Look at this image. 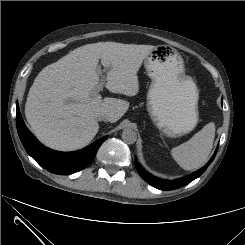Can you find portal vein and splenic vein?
Masks as SVG:
<instances>
[{
  "label": "portal vein and splenic vein",
  "instance_id": "1",
  "mask_svg": "<svg viewBox=\"0 0 245 245\" xmlns=\"http://www.w3.org/2000/svg\"><path fill=\"white\" fill-rule=\"evenodd\" d=\"M104 83H105V81H104V79H103L102 82L100 83V85L98 86L97 90L94 92V96L100 97V95L98 94V92L101 91V90L103 89Z\"/></svg>",
  "mask_w": 245,
  "mask_h": 245
}]
</instances>
